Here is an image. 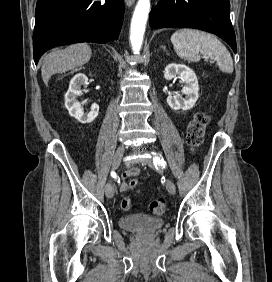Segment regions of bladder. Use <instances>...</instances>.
<instances>
[{"mask_svg": "<svg viewBox=\"0 0 272 282\" xmlns=\"http://www.w3.org/2000/svg\"><path fill=\"white\" fill-rule=\"evenodd\" d=\"M119 225L139 234H153L163 226V219L147 215H128L119 218Z\"/></svg>", "mask_w": 272, "mask_h": 282, "instance_id": "31cf9c89", "label": "bladder"}]
</instances>
